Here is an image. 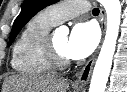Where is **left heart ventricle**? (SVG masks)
Wrapping results in <instances>:
<instances>
[{
    "label": "left heart ventricle",
    "mask_w": 127,
    "mask_h": 92,
    "mask_svg": "<svg viewBox=\"0 0 127 92\" xmlns=\"http://www.w3.org/2000/svg\"><path fill=\"white\" fill-rule=\"evenodd\" d=\"M53 39H54V43L57 49L59 50V52L67 56L66 46H67V41H68V35L57 33L53 36Z\"/></svg>",
    "instance_id": "obj_1"
}]
</instances>
